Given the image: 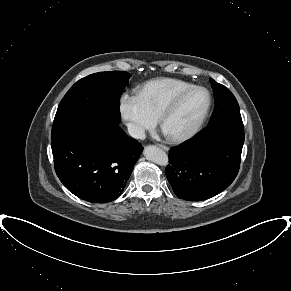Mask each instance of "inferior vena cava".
<instances>
[{
	"instance_id": "602c4592",
	"label": "inferior vena cava",
	"mask_w": 291,
	"mask_h": 291,
	"mask_svg": "<svg viewBox=\"0 0 291 291\" xmlns=\"http://www.w3.org/2000/svg\"><path fill=\"white\" fill-rule=\"evenodd\" d=\"M127 131L129 133V135L133 138H137V139H145V131L142 127L133 124V123H128L127 124Z\"/></svg>"
}]
</instances>
